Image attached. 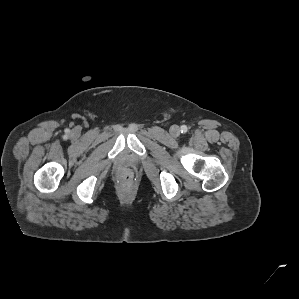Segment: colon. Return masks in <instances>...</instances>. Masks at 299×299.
<instances>
[{
  "label": "colon",
  "instance_id": "1",
  "mask_svg": "<svg viewBox=\"0 0 299 299\" xmlns=\"http://www.w3.org/2000/svg\"><path fill=\"white\" fill-rule=\"evenodd\" d=\"M133 178V173L131 172V170L129 169H125L122 173H121V179L125 182V183H129L132 181Z\"/></svg>",
  "mask_w": 299,
  "mask_h": 299
}]
</instances>
